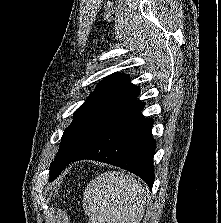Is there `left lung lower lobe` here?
Here are the masks:
<instances>
[{
    "label": "left lung lower lobe",
    "instance_id": "obj_1",
    "mask_svg": "<svg viewBox=\"0 0 221 223\" xmlns=\"http://www.w3.org/2000/svg\"><path fill=\"white\" fill-rule=\"evenodd\" d=\"M144 106L138 103L117 119L71 162L90 159L121 167L141 177L151 188L156 143L151 134L153 120L141 113Z\"/></svg>",
    "mask_w": 221,
    "mask_h": 223
}]
</instances>
